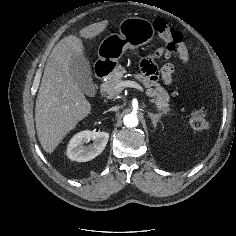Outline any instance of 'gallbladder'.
<instances>
[{
  "instance_id": "gallbladder-1",
  "label": "gallbladder",
  "mask_w": 236,
  "mask_h": 236,
  "mask_svg": "<svg viewBox=\"0 0 236 236\" xmlns=\"http://www.w3.org/2000/svg\"><path fill=\"white\" fill-rule=\"evenodd\" d=\"M69 70L82 92L88 96H93L95 87L92 82L91 66L87 58L84 55H74Z\"/></svg>"
}]
</instances>
